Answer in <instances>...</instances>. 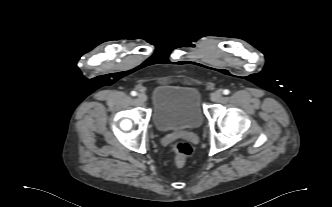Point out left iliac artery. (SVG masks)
I'll use <instances>...</instances> for the list:
<instances>
[{
  "label": "left iliac artery",
  "mask_w": 332,
  "mask_h": 207,
  "mask_svg": "<svg viewBox=\"0 0 332 207\" xmlns=\"http://www.w3.org/2000/svg\"><path fill=\"white\" fill-rule=\"evenodd\" d=\"M230 91L228 89L223 90V94L228 95Z\"/></svg>",
  "instance_id": "obj_1"
}]
</instances>
